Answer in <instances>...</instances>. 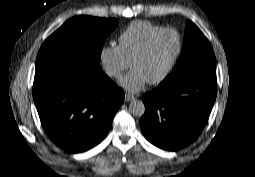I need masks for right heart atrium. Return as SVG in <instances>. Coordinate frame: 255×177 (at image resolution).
I'll return each instance as SVG.
<instances>
[{
    "label": "right heart atrium",
    "mask_w": 255,
    "mask_h": 177,
    "mask_svg": "<svg viewBox=\"0 0 255 177\" xmlns=\"http://www.w3.org/2000/svg\"><path fill=\"white\" fill-rule=\"evenodd\" d=\"M100 61L107 75L114 79L119 78L129 66L120 46L115 43H107L101 47Z\"/></svg>",
    "instance_id": "1"
}]
</instances>
